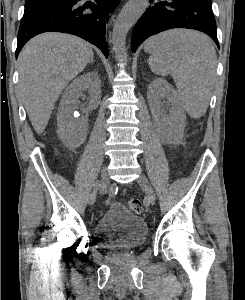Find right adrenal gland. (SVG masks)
Here are the masks:
<instances>
[{"label": "right adrenal gland", "mask_w": 245, "mask_h": 300, "mask_svg": "<svg viewBox=\"0 0 245 300\" xmlns=\"http://www.w3.org/2000/svg\"><path fill=\"white\" fill-rule=\"evenodd\" d=\"M90 63H94V60H93V59H91Z\"/></svg>", "instance_id": "right-adrenal-gland-1"}]
</instances>
